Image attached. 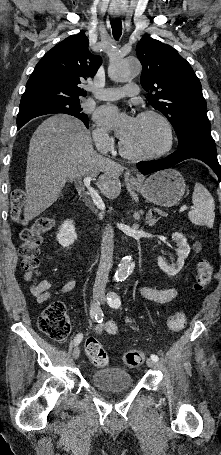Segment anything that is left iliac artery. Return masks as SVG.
<instances>
[{
	"label": "left iliac artery",
	"mask_w": 221,
	"mask_h": 455,
	"mask_svg": "<svg viewBox=\"0 0 221 455\" xmlns=\"http://www.w3.org/2000/svg\"><path fill=\"white\" fill-rule=\"evenodd\" d=\"M107 303L112 308H119L121 305V300L120 297L115 292H109L107 294ZM150 358L154 361H158L159 359L158 356L155 354H152Z\"/></svg>",
	"instance_id": "obj_1"
}]
</instances>
